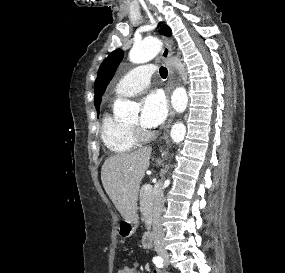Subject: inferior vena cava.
<instances>
[{"instance_id": "1", "label": "inferior vena cava", "mask_w": 285, "mask_h": 273, "mask_svg": "<svg viewBox=\"0 0 285 273\" xmlns=\"http://www.w3.org/2000/svg\"><path fill=\"white\" fill-rule=\"evenodd\" d=\"M162 184L160 183V186ZM162 210H163V191L157 190L154 196V203L152 209L153 215V239L155 251L158 254H166L165 245L163 241V227H162Z\"/></svg>"}]
</instances>
